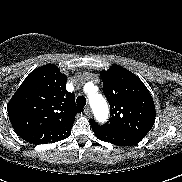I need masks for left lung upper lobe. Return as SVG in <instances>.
<instances>
[{
  "label": "left lung upper lobe",
  "mask_w": 182,
  "mask_h": 182,
  "mask_svg": "<svg viewBox=\"0 0 182 182\" xmlns=\"http://www.w3.org/2000/svg\"><path fill=\"white\" fill-rule=\"evenodd\" d=\"M100 75L111 118L103 125L93 119L90 124L143 139L152 129L156 115L153 98L146 86L119 65L102 70Z\"/></svg>",
  "instance_id": "obj_1"
}]
</instances>
